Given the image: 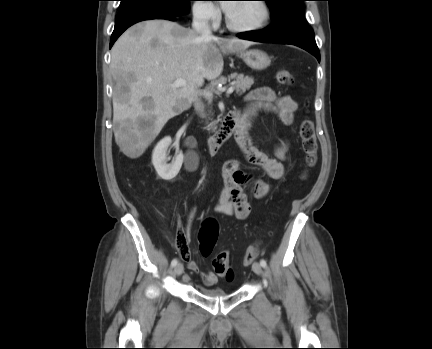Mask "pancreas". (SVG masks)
Returning <instances> with one entry per match:
<instances>
[{"label":"pancreas","instance_id":"obj_1","mask_svg":"<svg viewBox=\"0 0 432 349\" xmlns=\"http://www.w3.org/2000/svg\"><path fill=\"white\" fill-rule=\"evenodd\" d=\"M229 79L233 80V86L237 94H242L246 90L250 89L254 84V79L249 76H244L243 74L232 73ZM218 121H212L207 125V130H215Z\"/></svg>","mask_w":432,"mask_h":349}]
</instances>
